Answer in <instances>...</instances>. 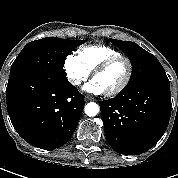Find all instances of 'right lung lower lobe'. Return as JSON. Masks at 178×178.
<instances>
[{"instance_id":"right-lung-lower-lobe-1","label":"right lung lower lobe","mask_w":178,"mask_h":178,"mask_svg":"<svg viewBox=\"0 0 178 178\" xmlns=\"http://www.w3.org/2000/svg\"><path fill=\"white\" fill-rule=\"evenodd\" d=\"M13 127L29 144L56 149L73 135L85 101L66 76L56 72L13 73L6 88Z\"/></svg>"}]
</instances>
